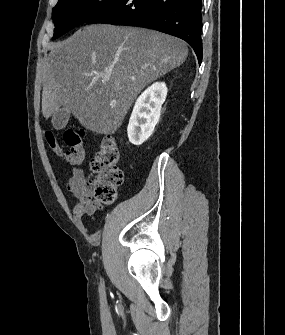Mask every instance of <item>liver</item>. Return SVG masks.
I'll use <instances>...</instances> for the list:
<instances>
[{"mask_svg": "<svg viewBox=\"0 0 285 335\" xmlns=\"http://www.w3.org/2000/svg\"><path fill=\"white\" fill-rule=\"evenodd\" d=\"M42 114L61 106L97 134H115L148 84L178 68L188 56L183 40L130 26L92 24L71 38L48 44ZM109 78V80H105Z\"/></svg>", "mask_w": 285, "mask_h": 335, "instance_id": "obj_1", "label": "liver"}]
</instances>
